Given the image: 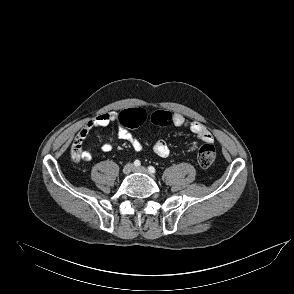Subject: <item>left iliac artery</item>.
<instances>
[{"label": "left iliac artery", "instance_id": "obj_1", "mask_svg": "<svg viewBox=\"0 0 294 294\" xmlns=\"http://www.w3.org/2000/svg\"><path fill=\"white\" fill-rule=\"evenodd\" d=\"M148 170H149L150 173H155L156 172V169L153 166H149Z\"/></svg>", "mask_w": 294, "mask_h": 294}]
</instances>
